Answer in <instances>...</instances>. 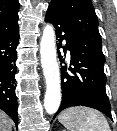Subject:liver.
Returning <instances> with one entry per match:
<instances>
[{"label":"liver","mask_w":117,"mask_h":131,"mask_svg":"<svg viewBox=\"0 0 117 131\" xmlns=\"http://www.w3.org/2000/svg\"><path fill=\"white\" fill-rule=\"evenodd\" d=\"M0 131H12L11 119L0 110Z\"/></svg>","instance_id":"liver-1"}]
</instances>
